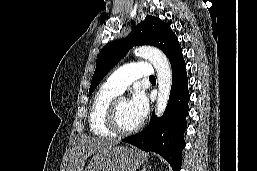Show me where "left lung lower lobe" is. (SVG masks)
I'll list each match as a JSON object with an SVG mask.
<instances>
[{"mask_svg":"<svg viewBox=\"0 0 257 171\" xmlns=\"http://www.w3.org/2000/svg\"><path fill=\"white\" fill-rule=\"evenodd\" d=\"M169 61L172 67V87L164 115L157 118L153 114L150 124L142 132L122 141L141 150L160 154L170 163L173 171H180L181 151L185 147L183 134L188 114V79L181 49L171 55Z\"/></svg>","mask_w":257,"mask_h":171,"instance_id":"1","label":"left lung lower lobe"}]
</instances>
